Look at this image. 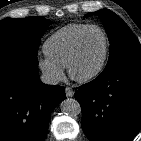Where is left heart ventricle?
I'll use <instances>...</instances> for the list:
<instances>
[{
    "mask_svg": "<svg viewBox=\"0 0 141 141\" xmlns=\"http://www.w3.org/2000/svg\"><path fill=\"white\" fill-rule=\"evenodd\" d=\"M105 47L102 33L96 29L89 31L83 39L79 57L74 70L78 75H86L94 71L100 64Z\"/></svg>",
    "mask_w": 141,
    "mask_h": 141,
    "instance_id": "1",
    "label": "left heart ventricle"
}]
</instances>
